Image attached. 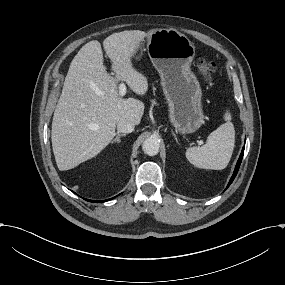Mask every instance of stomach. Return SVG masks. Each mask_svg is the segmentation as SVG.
<instances>
[{
    "label": "stomach",
    "instance_id": "obj_1",
    "mask_svg": "<svg viewBox=\"0 0 285 285\" xmlns=\"http://www.w3.org/2000/svg\"><path fill=\"white\" fill-rule=\"evenodd\" d=\"M144 51L160 74L171 123L181 133L195 132L204 123L201 87L190 68L195 46L176 29H153L132 60H140Z\"/></svg>",
    "mask_w": 285,
    "mask_h": 285
}]
</instances>
